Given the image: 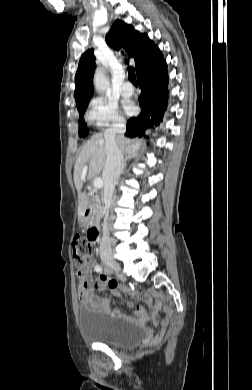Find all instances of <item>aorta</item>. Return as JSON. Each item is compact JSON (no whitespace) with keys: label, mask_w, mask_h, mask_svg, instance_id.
<instances>
[{"label":"aorta","mask_w":252,"mask_h":390,"mask_svg":"<svg viewBox=\"0 0 252 390\" xmlns=\"http://www.w3.org/2000/svg\"><path fill=\"white\" fill-rule=\"evenodd\" d=\"M94 87L97 92H103L109 87V80L104 68H97L94 75Z\"/></svg>","instance_id":"762f6f07"}]
</instances>
